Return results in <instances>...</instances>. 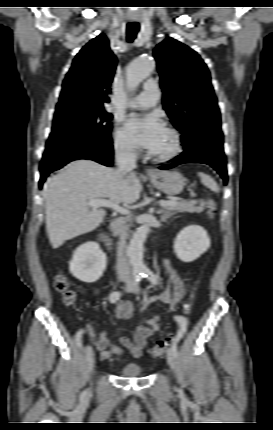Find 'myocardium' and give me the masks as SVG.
<instances>
[{
    "mask_svg": "<svg viewBox=\"0 0 273 430\" xmlns=\"http://www.w3.org/2000/svg\"><path fill=\"white\" fill-rule=\"evenodd\" d=\"M166 131L172 138V148L165 154L150 153V157L157 162H168L178 157L182 152V137L179 131L173 127H167Z\"/></svg>",
    "mask_w": 273,
    "mask_h": 430,
    "instance_id": "obj_1",
    "label": "myocardium"
}]
</instances>
